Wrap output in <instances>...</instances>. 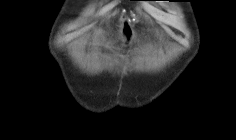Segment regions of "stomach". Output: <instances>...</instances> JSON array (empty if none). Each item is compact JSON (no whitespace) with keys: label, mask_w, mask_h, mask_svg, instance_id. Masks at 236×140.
Returning <instances> with one entry per match:
<instances>
[{"label":"stomach","mask_w":236,"mask_h":140,"mask_svg":"<svg viewBox=\"0 0 236 140\" xmlns=\"http://www.w3.org/2000/svg\"><path fill=\"white\" fill-rule=\"evenodd\" d=\"M104 26H112V23H104ZM123 36L127 42L135 37V31L128 23H125L124 25Z\"/></svg>","instance_id":"stomach-1"}]
</instances>
